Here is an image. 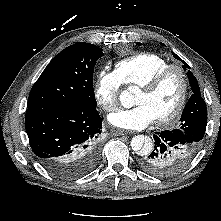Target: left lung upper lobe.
<instances>
[{
  "instance_id": "1",
  "label": "left lung upper lobe",
  "mask_w": 221,
  "mask_h": 221,
  "mask_svg": "<svg viewBox=\"0 0 221 221\" xmlns=\"http://www.w3.org/2000/svg\"><path fill=\"white\" fill-rule=\"evenodd\" d=\"M176 58L180 59L177 55ZM182 62L184 63L183 68L185 71L187 68L190 69L184 61ZM187 76L193 94L189 98L188 103L182 112L178 129L182 130L186 136L191 139L190 141H193L194 145L199 148L206 130L207 109L206 104L201 97L197 79L193 76L191 71H188Z\"/></svg>"
}]
</instances>
